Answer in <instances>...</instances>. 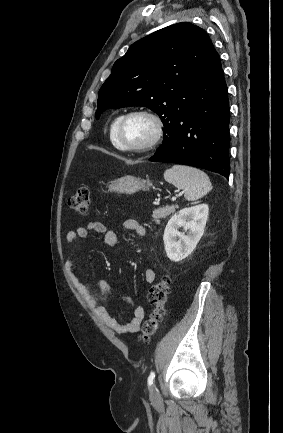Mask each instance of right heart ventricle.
<instances>
[{
  "mask_svg": "<svg viewBox=\"0 0 283 433\" xmlns=\"http://www.w3.org/2000/svg\"><path fill=\"white\" fill-rule=\"evenodd\" d=\"M121 117H122V114H117V115L113 118V120H112V122H111V124H110V127H109V136H110V140H111L113 146H114L115 148H117V149H119V147H118V145H117V143H116V140H115V129H116V126H117V124H118V122H119V120H120Z\"/></svg>",
  "mask_w": 283,
  "mask_h": 433,
  "instance_id": "obj_1",
  "label": "right heart ventricle"
}]
</instances>
